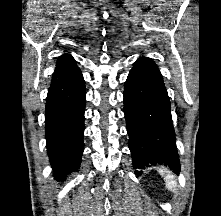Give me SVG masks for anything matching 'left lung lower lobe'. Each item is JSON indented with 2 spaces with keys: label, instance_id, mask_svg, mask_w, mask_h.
Returning a JSON list of instances; mask_svg holds the SVG:
<instances>
[{
  "label": "left lung lower lobe",
  "instance_id": "0a47b994",
  "mask_svg": "<svg viewBox=\"0 0 221 216\" xmlns=\"http://www.w3.org/2000/svg\"><path fill=\"white\" fill-rule=\"evenodd\" d=\"M124 113L133 166L144 169L159 163L180 171L169 97L150 58H139L133 64L125 82Z\"/></svg>",
  "mask_w": 221,
  "mask_h": 216
}]
</instances>
